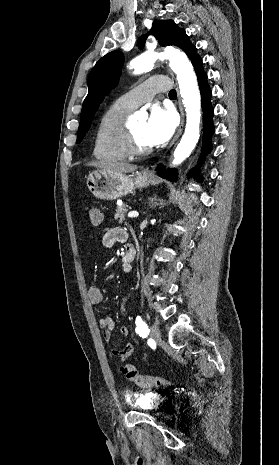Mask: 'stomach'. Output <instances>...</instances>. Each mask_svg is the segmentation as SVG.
<instances>
[{
	"label": "stomach",
	"instance_id": "1",
	"mask_svg": "<svg viewBox=\"0 0 279 465\" xmlns=\"http://www.w3.org/2000/svg\"><path fill=\"white\" fill-rule=\"evenodd\" d=\"M151 178L143 173L131 178L122 173L96 170L89 173L86 185L89 191L99 199L115 200L150 184Z\"/></svg>",
	"mask_w": 279,
	"mask_h": 465
}]
</instances>
